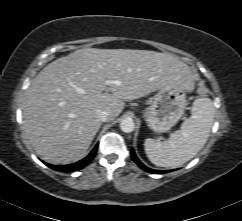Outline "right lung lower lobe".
I'll use <instances>...</instances> for the list:
<instances>
[{
    "mask_svg": "<svg viewBox=\"0 0 242 221\" xmlns=\"http://www.w3.org/2000/svg\"><path fill=\"white\" fill-rule=\"evenodd\" d=\"M98 145L94 147V149L91 151V153L84 159H82L79 162H76L74 164H69V165H51L48 163H45L48 167L57 170V171H63V172H72L75 170H79L84 168L95 156V153L97 151Z\"/></svg>",
    "mask_w": 242,
    "mask_h": 221,
    "instance_id": "obj_1",
    "label": "right lung lower lobe"
}]
</instances>
